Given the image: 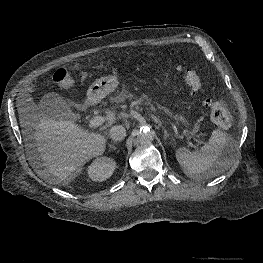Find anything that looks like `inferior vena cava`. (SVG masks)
I'll list each match as a JSON object with an SVG mask.
<instances>
[{
    "instance_id": "1",
    "label": "inferior vena cava",
    "mask_w": 263,
    "mask_h": 263,
    "mask_svg": "<svg viewBox=\"0 0 263 263\" xmlns=\"http://www.w3.org/2000/svg\"><path fill=\"white\" fill-rule=\"evenodd\" d=\"M109 136L114 141H121L126 136V130L121 125L113 126L110 129Z\"/></svg>"
}]
</instances>
